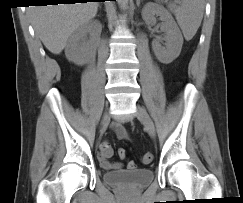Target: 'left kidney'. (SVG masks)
<instances>
[{"instance_id": "5707ae66", "label": "left kidney", "mask_w": 243, "mask_h": 203, "mask_svg": "<svg viewBox=\"0 0 243 203\" xmlns=\"http://www.w3.org/2000/svg\"><path fill=\"white\" fill-rule=\"evenodd\" d=\"M155 16H159L162 21L160 28L166 34L165 47H162L159 41H154L152 49L161 63L169 64L180 55L183 37L172 15L164 7L155 3L146 4L142 10L143 20L147 24H154Z\"/></svg>"}]
</instances>
